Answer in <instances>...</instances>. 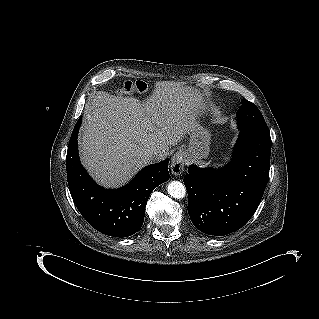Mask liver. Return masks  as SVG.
<instances>
[{
	"instance_id": "liver-1",
	"label": "liver",
	"mask_w": 319,
	"mask_h": 319,
	"mask_svg": "<svg viewBox=\"0 0 319 319\" xmlns=\"http://www.w3.org/2000/svg\"><path fill=\"white\" fill-rule=\"evenodd\" d=\"M201 104L188 87L157 83L151 97L98 91L86 105L79 134L80 158L101 185L118 187L148 165V154L177 144L198 124Z\"/></svg>"
}]
</instances>
